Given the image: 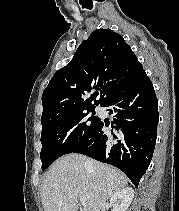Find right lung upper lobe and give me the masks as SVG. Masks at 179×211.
I'll list each match as a JSON object with an SVG mask.
<instances>
[{
	"label": "right lung upper lobe",
	"mask_w": 179,
	"mask_h": 211,
	"mask_svg": "<svg viewBox=\"0 0 179 211\" xmlns=\"http://www.w3.org/2000/svg\"><path fill=\"white\" fill-rule=\"evenodd\" d=\"M143 71L123 37L110 29L95 30L81 43L69 64L54 74L43 91L42 127L60 116L98 105L103 107ZM93 90L96 91L87 98ZM99 92L100 98L96 101Z\"/></svg>",
	"instance_id": "cb5924a9"
}]
</instances>
